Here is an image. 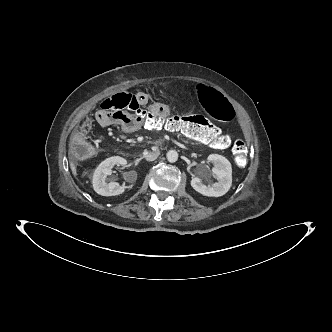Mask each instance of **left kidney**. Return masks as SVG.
Masks as SVG:
<instances>
[{"mask_svg": "<svg viewBox=\"0 0 332 332\" xmlns=\"http://www.w3.org/2000/svg\"><path fill=\"white\" fill-rule=\"evenodd\" d=\"M208 161L213 163L212 174L218 179V182L206 186L198 177H193L191 186L194 190L204 196L220 197L228 192L232 184V167L231 163L223 156L211 154Z\"/></svg>", "mask_w": 332, "mask_h": 332, "instance_id": "left-kidney-1", "label": "left kidney"}]
</instances>
